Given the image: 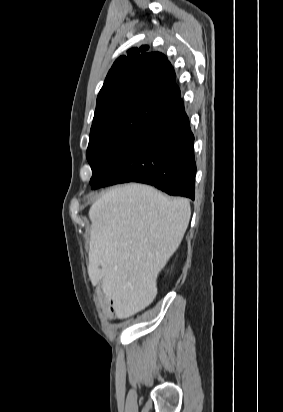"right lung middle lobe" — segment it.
Segmentation results:
<instances>
[{"mask_svg": "<svg viewBox=\"0 0 283 412\" xmlns=\"http://www.w3.org/2000/svg\"><path fill=\"white\" fill-rule=\"evenodd\" d=\"M162 110H127L93 121L86 157L98 180L151 127Z\"/></svg>", "mask_w": 283, "mask_h": 412, "instance_id": "dd1d6c3e", "label": "right lung middle lobe"}]
</instances>
